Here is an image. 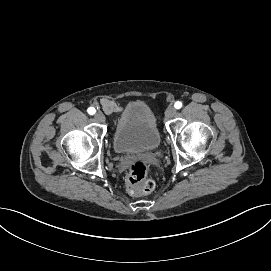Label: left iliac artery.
Instances as JSON below:
<instances>
[{"instance_id": "obj_1", "label": "left iliac artery", "mask_w": 271, "mask_h": 271, "mask_svg": "<svg viewBox=\"0 0 271 271\" xmlns=\"http://www.w3.org/2000/svg\"><path fill=\"white\" fill-rule=\"evenodd\" d=\"M174 106L176 109H180L182 107V103L180 101H177Z\"/></svg>"}]
</instances>
